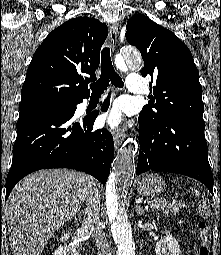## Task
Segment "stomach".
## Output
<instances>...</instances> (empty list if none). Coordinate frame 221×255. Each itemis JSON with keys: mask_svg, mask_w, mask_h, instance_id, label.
Here are the masks:
<instances>
[{"mask_svg": "<svg viewBox=\"0 0 221 255\" xmlns=\"http://www.w3.org/2000/svg\"><path fill=\"white\" fill-rule=\"evenodd\" d=\"M137 192L144 196H156L161 194L165 189V182L162 177L155 173H150L137 179Z\"/></svg>", "mask_w": 221, "mask_h": 255, "instance_id": "stomach-1", "label": "stomach"}]
</instances>
